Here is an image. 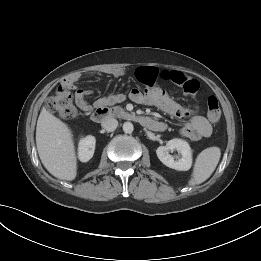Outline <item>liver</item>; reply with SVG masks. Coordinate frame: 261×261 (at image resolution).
<instances>
[{
    "label": "liver",
    "mask_w": 261,
    "mask_h": 261,
    "mask_svg": "<svg viewBox=\"0 0 261 261\" xmlns=\"http://www.w3.org/2000/svg\"><path fill=\"white\" fill-rule=\"evenodd\" d=\"M70 128L46 108L40 112L36 127V145L44 167L61 180L77 175V157Z\"/></svg>",
    "instance_id": "liver-1"
}]
</instances>
